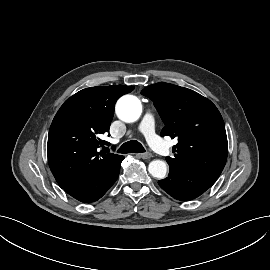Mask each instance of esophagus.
Wrapping results in <instances>:
<instances>
[{
	"instance_id": "1",
	"label": "esophagus",
	"mask_w": 270,
	"mask_h": 270,
	"mask_svg": "<svg viewBox=\"0 0 270 270\" xmlns=\"http://www.w3.org/2000/svg\"><path fill=\"white\" fill-rule=\"evenodd\" d=\"M139 158H142V159H150L152 157V154L151 153H140L137 155Z\"/></svg>"
}]
</instances>
